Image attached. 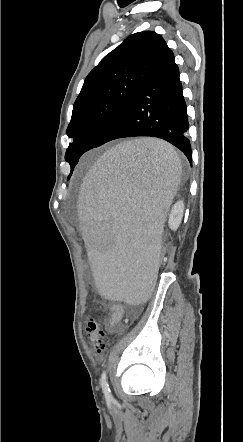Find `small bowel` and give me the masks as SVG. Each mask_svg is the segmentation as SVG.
<instances>
[{
    "label": "small bowel",
    "instance_id": "1",
    "mask_svg": "<svg viewBox=\"0 0 243 442\" xmlns=\"http://www.w3.org/2000/svg\"><path fill=\"white\" fill-rule=\"evenodd\" d=\"M123 316V308L121 306H113L111 308V316L108 320V330L111 333H116L119 329V322Z\"/></svg>",
    "mask_w": 243,
    "mask_h": 442
}]
</instances>
